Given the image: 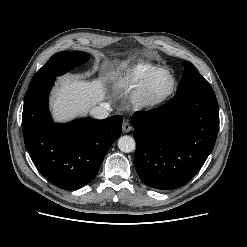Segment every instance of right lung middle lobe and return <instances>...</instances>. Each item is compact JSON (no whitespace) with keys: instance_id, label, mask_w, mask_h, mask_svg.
Wrapping results in <instances>:
<instances>
[{"instance_id":"dd1d6c3e","label":"right lung middle lobe","mask_w":247,"mask_h":247,"mask_svg":"<svg viewBox=\"0 0 247 247\" xmlns=\"http://www.w3.org/2000/svg\"><path fill=\"white\" fill-rule=\"evenodd\" d=\"M88 60V55L83 52H58L38 70L29 86L63 75L75 66L81 65Z\"/></svg>"}]
</instances>
